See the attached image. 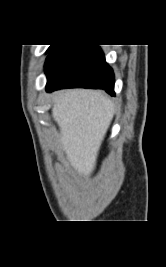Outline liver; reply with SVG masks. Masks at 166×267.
I'll return each instance as SVG.
<instances>
[{
  "label": "liver",
  "instance_id": "obj_1",
  "mask_svg": "<svg viewBox=\"0 0 166 267\" xmlns=\"http://www.w3.org/2000/svg\"><path fill=\"white\" fill-rule=\"evenodd\" d=\"M113 115L112 102L100 91L69 89L54 94L52 116L67 158L80 176L88 178L94 171Z\"/></svg>",
  "mask_w": 166,
  "mask_h": 267
}]
</instances>
